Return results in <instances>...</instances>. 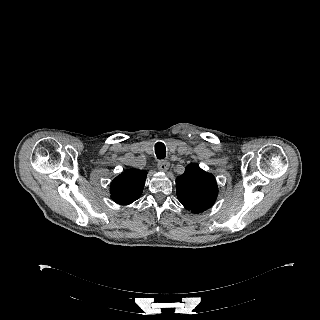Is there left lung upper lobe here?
I'll return each mask as SVG.
<instances>
[{
  "label": "left lung upper lobe",
  "mask_w": 320,
  "mask_h": 320,
  "mask_svg": "<svg viewBox=\"0 0 320 320\" xmlns=\"http://www.w3.org/2000/svg\"><path fill=\"white\" fill-rule=\"evenodd\" d=\"M178 200L192 213H201L213 206L218 196L215 177L202 170L196 163L186 166L176 178Z\"/></svg>",
  "instance_id": "1"
}]
</instances>
